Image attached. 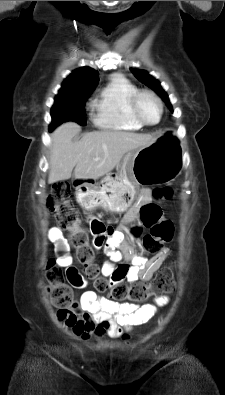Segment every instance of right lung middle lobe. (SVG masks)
I'll return each instance as SVG.
<instances>
[{
	"label": "right lung middle lobe",
	"mask_w": 225,
	"mask_h": 395,
	"mask_svg": "<svg viewBox=\"0 0 225 395\" xmlns=\"http://www.w3.org/2000/svg\"><path fill=\"white\" fill-rule=\"evenodd\" d=\"M90 92H64L59 91L55 103L51 109L52 131L63 122L74 121L80 125H86L85 102Z\"/></svg>",
	"instance_id": "obj_1"
}]
</instances>
